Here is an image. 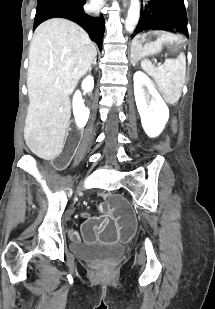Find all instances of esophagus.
Returning <instances> with one entry per match:
<instances>
[{"label":"esophagus","instance_id":"esophagus-1","mask_svg":"<svg viewBox=\"0 0 215 309\" xmlns=\"http://www.w3.org/2000/svg\"><path fill=\"white\" fill-rule=\"evenodd\" d=\"M129 0H122L123 6H126L128 4Z\"/></svg>","mask_w":215,"mask_h":309}]
</instances>
